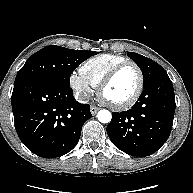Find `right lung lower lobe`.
I'll return each instance as SVG.
<instances>
[{
  "mask_svg": "<svg viewBox=\"0 0 193 193\" xmlns=\"http://www.w3.org/2000/svg\"><path fill=\"white\" fill-rule=\"evenodd\" d=\"M11 102L19 138L43 158L70 152L79 141L83 124L92 117L89 104L77 102L69 86L51 80L14 85Z\"/></svg>",
  "mask_w": 193,
  "mask_h": 193,
  "instance_id": "1",
  "label": "right lung lower lobe"
}]
</instances>
